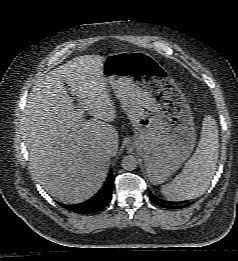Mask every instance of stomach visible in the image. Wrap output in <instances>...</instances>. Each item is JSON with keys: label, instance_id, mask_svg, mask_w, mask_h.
<instances>
[{"label": "stomach", "instance_id": "obj_1", "mask_svg": "<svg viewBox=\"0 0 238 261\" xmlns=\"http://www.w3.org/2000/svg\"><path fill=\"white\" fill-rule=\"evenodd\" d=\"M134 127L131 146L144 159L153 184H162L190 156L196 142L191 109L169 74L143 54L117 53L102 64Z\"/></svg>", "mask_w": 238, "mask_h": 261}]
</instances>
